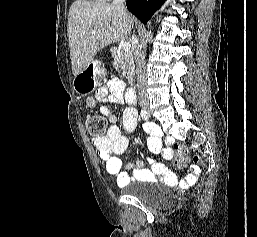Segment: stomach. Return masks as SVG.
<instances>
[{
    "label": "stomach",
    "mask_w": 257,
    "mask_h": 237,
    "mask_svg": "<svg viewBox=\"0 0 257 237\" xmlns=\"http://www.w3.org/2000/svg\"><path fill=\"white\" fill-rule=\"evenodd\" d=\"M104 74L102 64L99 61H92L74 77L73 88L80 95H88L96 89Z\"/></svg>",
    "instance_id": "1"
}]
</instances>
